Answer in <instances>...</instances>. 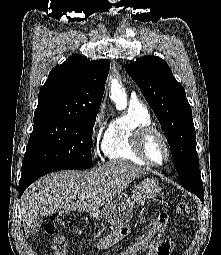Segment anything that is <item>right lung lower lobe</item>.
I'll list each match as a JSON object with an SVG mask.
<instances>
[{
    "label": "right lung lower lobe",
    "mask_w": 221,
    "mask_h": 255,
    "mask_svg": "<svg viewBox=\"0 0 221 255\" xmlns=\"http://www.w3.org/2000/svg\"><path fill=\"white\" fill-rule=\"evenodd\" d=\"M60 169L52 167L32 166L22 170L21 179L19 182V197L23 194L24 190L35 180L50 172L58 171Z\"/></svg>",
    "instance_id": "obj_1"
}]
</instances>
